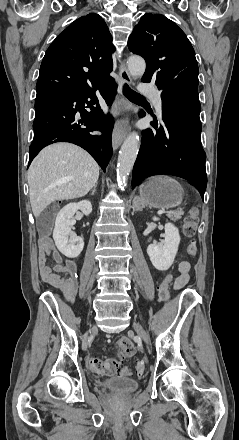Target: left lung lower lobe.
<instances>
[{
	"mask_svg": "<svg viewBox=\"0 0 239 440\" xmlns=\"http://www.w3.org/2000/svg\"><path fill=\"white\" fill-rule=\"evenodd\" d=\"M162 125L142 131L141 147L134 164L132 186L160 174L184 178L198 188L202 198L207 185L206 154L201 145L198 92L173 90L161 93ZM145 116V112L139 114Z\"/></svg>",
	"mask_w": 239,
	"mask_h": 440,
	"instance_id": "obj_1",
	"label": "left lung lower lobe"
}]
</instances>
